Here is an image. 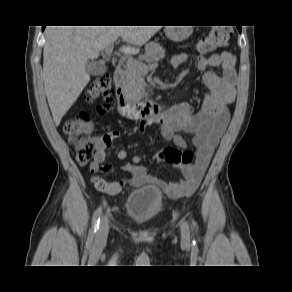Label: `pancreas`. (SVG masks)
<instances>
[{
    "mask_svg": "<svg viewBox=\"0 0 292 292\" xmlns=\"http://www.w3.org/2000/svg\"><path fill=\"white\" fill-rule=\"evenodd\" d=\"M145 54L155 61L165 57V49L156 42H150L145 46ZM140 65H143L141 60H134L131 64H126L122 71L121 87L125 96L130 99L139 98L144 85L145 72L140 69Z\"/></svg>",
    "mask_w": 292,
    "mask_h": 292,
    "instance_id": "cf45deb5",
    "label": "pancreas"
}]
</instances>
